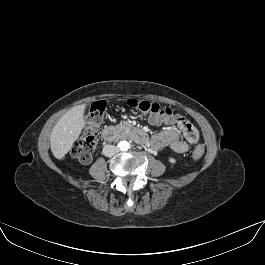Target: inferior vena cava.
<instances>
[{"label": "inferior vena cava", "instance_id": "1", "mask_svg": "<svg viewBox=\"0 0 265 265\" xmlns=\"http://www.w3.org/2000/svg\"><path fill=\"white\" fill-rule=\"evenodd\" d=\"M118 151V147L107 144L103 147L102 153L106 157H112L113 155L117 154Z\"/></svg>", "mask_w": 265, "mask_h": 265}]
</instances>
